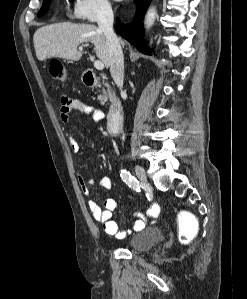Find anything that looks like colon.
<instances>
[{"label":"colon","instance_id":"obj_1","mask_svg":"<svg viewBox=\"0 0 247 299\" xmlns=\"http://www.w3.org/2000/svg\"><path fill=\"white\" fill-rule=\"evenodd\" d=\"M50 74L59 80H65L67 72L60 61L52 60L49 64ZM178 223L180 227L179 239L182 242H188L197 231L196 219L187 212H181L178 215Z\"/></svg>","mask_w":247,"mask_h":299}]
</instances>
